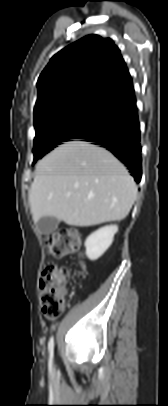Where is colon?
I'll list each match as a JSON object with an SVG mask.
<instances>
[{"label": "colon", "instance_id": "obj_1", "mask_svg": "<svg viewBox=\"0 0 168 406\" xmlns=\"http://www.w3.org/2000/svg\"><path fill=\"white\" fill-rule=\"evenodd\" d=\"M50 257L60 259L69 256L80 248V239L75 230L60 228L46 239ZM85 273L80 265L75 273L54 261L44 264L39 276L38 291L43 315L50 320L61 316L64 307L65 285L72 277Z\"/></svg>", "mask_w": 168, "mask_h": 406}]
</instances>
